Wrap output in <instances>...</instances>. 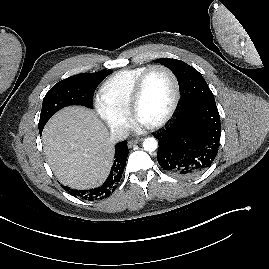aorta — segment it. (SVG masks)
I'll use <instances>...</instances> for the list:
<instances>
[{
	"instance_id": "1",
	"label": "aorta",
	"mask_w": 269,
	"mask_h": 269,
	"mask_svg": "<svg viewBox=\"0 0 269 269\" xmlns=\"http://www.w3.org/2000/svg\"><path fill=\"white\" fill-rule=\"evenodd\" d=\"M158 147V142L155 138L153 137H148L145 138L143 141V148L147 152H153L157 149Z\"/></svg>"
}]
</instances>
